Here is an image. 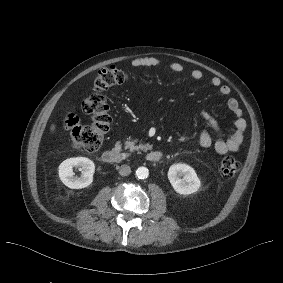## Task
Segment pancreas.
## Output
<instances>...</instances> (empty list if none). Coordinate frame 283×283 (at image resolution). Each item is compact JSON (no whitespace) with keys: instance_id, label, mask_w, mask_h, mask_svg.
<instances>
[{"instance_id":"1","label":"pancreas","mask_w":283,"mask_h":283,"mask_svg":"<svg viewBox=\"0 0 283 283\" xmlns=\"http://www.w3.org/2000/svg\"><path fill=\"white\" fill-rule=\"evenodd\" d=\"M148 147L149 145H146V147L142 146L141 144L135 145V143L131 139H128L126 141V149H130L131 152L136 151L140 153L141 150L147 151Z\"/></svg>"}]
</instances>
